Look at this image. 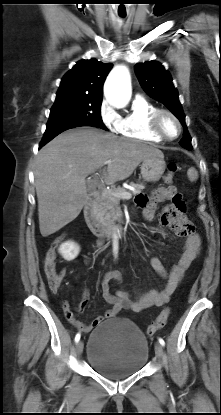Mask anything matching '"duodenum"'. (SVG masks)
Returning <instances> with one entry per match:
<instances>
[{"label": "duodenum", "mask_w": 221, "mask_h": 415, "mask_svg": "<svg viewBox=\"0 0 221 415\" xmlns=\"http://www.w3.org/2000/svg\"><path fill=\"white\" fill-rule=\"evenodd\" d=\"M98 194L96 192L90 195L89 200L84 206V218L87 223V226L91 232L100 238L111 237L115 235H122L125 232L124 226L122 224H107L102 222L96 214V200Z\"/></svg>", "instance_id": "410a0bca"}]
</instances>
